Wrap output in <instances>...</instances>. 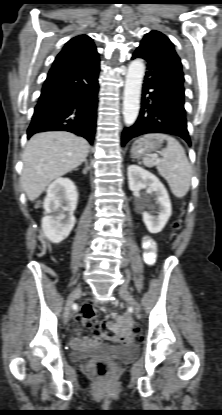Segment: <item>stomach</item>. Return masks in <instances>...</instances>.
<instances>
[{"instance_id": "stomach-1", "label": "stomach", "mask_w": 222, "mask_h": 415, "mask_svg": "<svg viewBox=\"0 0 222 415\" xmlns=\"http://www.w3.org/2000/svg\"><path fill=\"white\" fill-rule=\"evenodd\" d=\"M163 141L159 139H137L131 147V156L140 159L148 156L150 153L157 151L162 146Z\"/></svg>"}]
</instances>
